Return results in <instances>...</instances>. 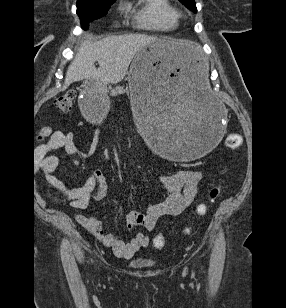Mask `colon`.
I'll return each mask as SVG.
<instances>
[{
	"instance_id": "obj_1",
	"label": "colon",
	"mask_w": 286,
	"mask_h": 308,
	"mask_svg": "<svg viewBox=\"0 0 286 308\" xmlns=\"http://www.w3.org/2000/svg\"><path fill=\"white\" fill-rule=\"evenodd\" d=\"M75 92L67 91L61 95H59L54 102L56 109L61 112H69L75 101ZM226 145L233 150L240 149L243 145V138L238 133H231L228 135L226 139ZM224 185L222 183L215 185L212 187L208 193V199L210 201L215 200L219 194L221 193ZM207 211V206L205 204H199L196 208V213L198 215H204ZM166 244V239L163 235L158 234L153 239V245L156 248H163Z\"/></svg>"
}]
</instances>
